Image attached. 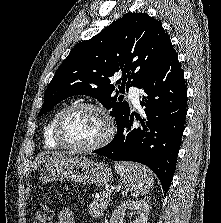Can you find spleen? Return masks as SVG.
<instances>
[{
    "label": "spleen",
    "mask_w": 221,
    "mask_h": 223,
    "mask_svg": "<svg viewBox=\"0 0 221 223\" xmlns=\"http://www.w3.org/2000/svg\"><path fill=\"white\" fill-rule=\"evenodd\" d=\"M114 168L133 197L146 194L153 185L150 171L140 164L116 162Z\"/></svg>",
    "instance_id": "spleen-1"
}]
</instances>
